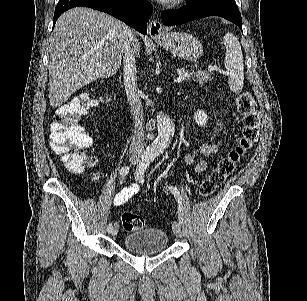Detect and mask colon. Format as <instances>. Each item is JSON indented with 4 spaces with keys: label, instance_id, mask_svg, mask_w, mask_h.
Wrapping results in <instances>:
<instances>
[{
    "label": "colon",
    "instance_id": "5ec220e1",
    "mask_svg": "<svg viewBox=\"0 0 307 301\" xmlns=\"http://www.w3.org/2000/svg\"><path fill=\"white\" fill-rule=\"evenodd\" d=\"M94 101L87 95L72 98L61 105L55 113L50 136L52 149L63 155L67 167L73 172H82L95 164V158L84 152L92 145V138L81 123ZM236 108L241 116L242 129L236 144L218 161L215 168L201 182L199 194L211 196L225 179L235 170L241 157L254 145L259 137V115L256 102L248 92L236 99ZM122 225L126 231H136L143 227L141 216L125 212Z\"/></svg>",
    "mask_w": 307,
    "mask_h": 301
}]
</instances>
